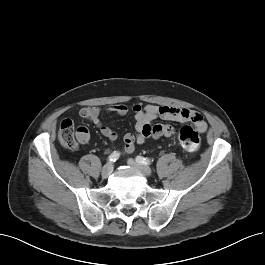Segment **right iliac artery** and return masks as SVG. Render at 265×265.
<instances>
[{
	"instance_id": "1",
	"label": "right iliac artery",
	"mask_w": 265,
	"mask_h": 265,
	"mask_svg": "<svg viewBox=\"0 0 265 265\" xmlns=\"http://www.w3.org/2000/svg\"><path fill=\"white\" fill-rule=\"evenodd\" d=\"M120 157V153L118 151H114L113 153H111L108 157V161L110 163L115 162L118 158Z\"/></svg>"
}]
</instances>
